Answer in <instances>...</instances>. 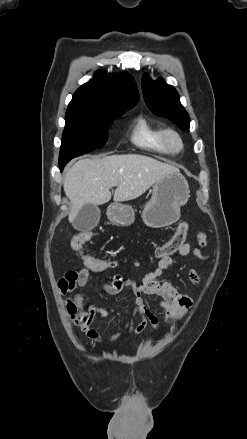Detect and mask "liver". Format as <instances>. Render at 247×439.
Masks as SVG:
<instances>
[{
	"mask_svg": "<svg viewBox=\"0 0 247 439\" xmlns=\"http://www.w3.org/2000/svg\"><path fill=\"white\" fill-rule=\"evenodd\" d=\"M179 169L154 158L138 155H111L77 161L66 173L64 191L71 202L69 221L73 222L85 204L102 205L138 198L156 182Z\"/></svg>",
	"mask_w": 247,
	"mask_h": 439,
	"instance_id": "liver-1",
	"label": "liver"
}]
</instances>
